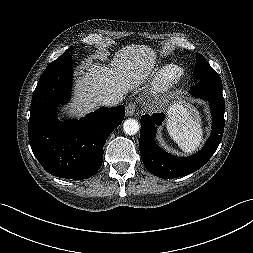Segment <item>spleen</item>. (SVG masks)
Segmentation results:
<instances>
[{
  "instance_id": "3e777b00",
  "label": "spleen",
  "mask_w": 253,
  "mask_h": 253,
  "mask_svg": "<svg viewBox=\"0 0 253 253\" xmlns=\"http://www.w3.org/2000/svg\"><path fill=\"white\" fill-rule=\"evenodd\" d=\"M167 122L170 137L185 152H194L203 140V130L198 112L174 108Z\"/></svg>"
}]
</instances>
